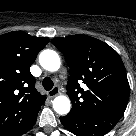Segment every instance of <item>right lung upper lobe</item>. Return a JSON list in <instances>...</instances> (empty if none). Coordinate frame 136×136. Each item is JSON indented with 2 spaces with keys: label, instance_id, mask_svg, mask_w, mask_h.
I'll return each mask as SVG.
<instances>
[{
  "label": "right lung upper lobe",
  "instance_id": "right-lung-upper-lobe-1",
  "mask_svg": "<svg viewBox=\"0 0 136 136\" xmlns=\"http://www.w3.org/2000/svg\"><path fill=\"white\" fill-rule=\"evenodd\" d=\"M48 42L23 31L0 36V136H20L35 123L46 96L36 90L30 66Z\"/></svg>",
  "mask_w": 136,
  "mask_h": 136
}]
</instances>
